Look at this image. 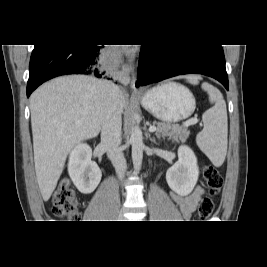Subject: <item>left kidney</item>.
<instances>
[{"label": "left kidney", "mask_w": 267, "mask_h": 267, "mask_svg": "<svg viewBox=\"0 0 267 267\" xmlns=\"http://www.w3.org/2000/svg\"><path fill=\"white\" fill-rule=\"evenodd\" d=\"M199 176L197 158L188 146L178 149V161L167 170L169 187L180 196H187L195 187Z\"/></svg>", "instance_id": "1"}]
</instances>
